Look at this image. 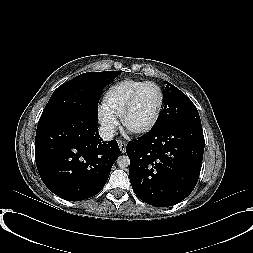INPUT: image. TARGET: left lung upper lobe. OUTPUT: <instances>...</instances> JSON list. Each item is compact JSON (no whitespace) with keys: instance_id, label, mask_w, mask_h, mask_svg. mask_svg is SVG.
<instances>
[{"instance_id":"left-lung-upper-lobe-1","label":"left lung upper lobe","mask_w":253,"mask_h":253,"mask_svg":"<svg viewBox=\"0 0 253 253\" xmlns=\"http://www.w3.org/2000/svg\"><path fill=\"white\" fill-rule=\"evenodd\" d=\"M163 91L164 109L159 114L151 130H156L176 123H201L199 113L192 101L178 88L165 82Z\"/></svg>"}]
</instances>
